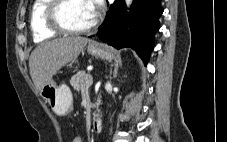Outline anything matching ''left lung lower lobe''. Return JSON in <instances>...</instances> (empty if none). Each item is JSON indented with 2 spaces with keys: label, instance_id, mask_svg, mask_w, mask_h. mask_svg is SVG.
Instances as JSON below:
<instances>
[{
  "label": "left lung lower lobe",
  "instance_id": "1",
  "mask_svg": "<svg viewBox=\"0 0 227 142\" xmlns=\"http://www.w3.org/2000/svg\"><path fill=\"white\" fill-rule=\"evenodd\" d=\"M162 13L161 0H134L129 13L124 0H115L98 29V35L117 49H134L147 64Z\"/></svg>",
  "mask_w": 227,
  "mask_h": 142
}]
</instances>
